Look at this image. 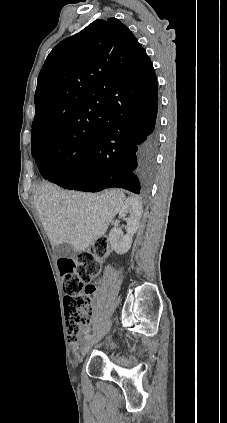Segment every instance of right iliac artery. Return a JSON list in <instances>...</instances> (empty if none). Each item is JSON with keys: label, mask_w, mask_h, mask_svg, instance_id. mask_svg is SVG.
Masks as SVG:
<instances>
[{"label": "right iliac artery", "mask_w": 227, "mask_h": 423, "mask_svg": "<svg viewBox=\"0 0 227 423\" xmlns=\"http://www.w3.org/2000/svg\"><path fill=\"white\" fill-rule=\"evenodd\" d=\"M90 338H92V335H91V334H86V335H85V340H88V339H90Z\"/></svg>", "instance_id": "1"}]
</instances>
